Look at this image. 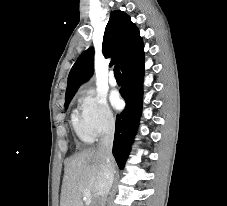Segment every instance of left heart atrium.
Wrapping results in <instances>:
<instances>
[{
    "label": "left heart atrium",
    "mask_w": 227,
    "mask_h": 206,
    "mask_svg": "<svg viewBox=\"0 0 227 206\" xmlns=\"http://www.w3.org/2000/svg\"><path fill=\"white\" fill-rule=\"evenodd\" d=\"M111 103L115 108H119L121 106V99L118 94L114 93L111 95Z\"/></svg>",
    "instance_id": "1"
}]
</instances>
